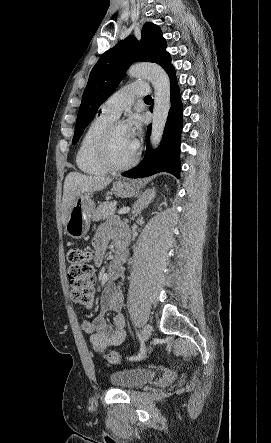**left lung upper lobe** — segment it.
<instances>
[{
  "label": "left lung upper lobe",
  "mask_w": 271,
  "mask_h": 443,
  "mask_svg": "<svg viewBox=\"0 0 271 443\" xmlns=\"http://www.w3.org/2000/svg\"><path fill=\"white\" fill-rule=\"evenodd\" d=\"M166 41L160 28L146 23L141 41L129 36L101 55L91 70L78 112L72 143L75 144L99 106L115 91L126 70L135 61L157 62L166 54Z\"/></svg>",
  "instance_id": "left-lung-upper-lobe-1"
}]
</instances>
